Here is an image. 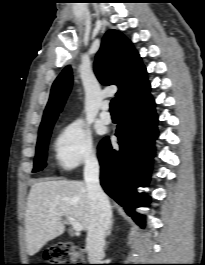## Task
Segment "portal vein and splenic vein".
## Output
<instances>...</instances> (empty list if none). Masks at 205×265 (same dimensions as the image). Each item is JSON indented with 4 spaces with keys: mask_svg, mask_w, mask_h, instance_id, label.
<instances>
[{
    "mask_svg": "<svg viewBox=\"0 0 205 265\" xmlns=\"http://www.w3.org/2000/svg\"><path fill=\"white\" fill-rule=\"evenodd\" d=\"M67 219H68L69 224L73 227L75 232H80L83 230L82 225L79 222H77L75 219H73L72 217H68Z\"/></svg>",
    "mask_w": 205,
    "mask_h": 265,
    "instance_id": "18ae733b",
    "label": "portal vein and splenic vein"
}]
</instances>
